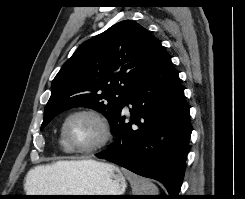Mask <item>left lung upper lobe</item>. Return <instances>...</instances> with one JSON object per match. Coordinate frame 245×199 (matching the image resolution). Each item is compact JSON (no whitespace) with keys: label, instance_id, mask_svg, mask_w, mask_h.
<instances>
[{"label":"left lung upper lobe","instance_id":"5c2ea615","mask_svg":"<svg viewBox=\"0 0 245 199\" xmlns=\"http://www.w3.org/2000/svg\"><path fill=\"white\" fill-rule=\"evenodd\" d=\"M163 51L158 39L131 20L84 42L52 82L41 130L57 114L78 106L97 110L111 123Z\"/></svg>","mask_w":245,"mask_h":199}]
</instances>
